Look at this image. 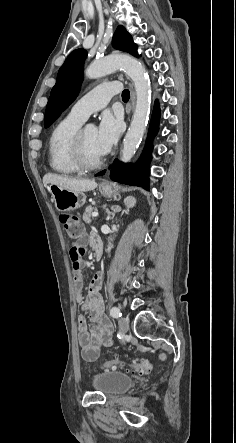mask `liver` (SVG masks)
<instances>
[{
	"label": "liver",
	"instance_id": "1",
	"mask_svg": "<svg viewBox=\"0 0 236 443\" xmlns=\"http://www.w3.org/2000/svg\"><path fill=\"white\" fill-rule=\"evenodd\" d=\"M49 183L74 192H87L97 187L95 180L75 179L57 174H46L43 177L44 186L46 187Z\"/></svg>",
	"mask_w": 236,
	"mask_h": 443
}]
</instances>
